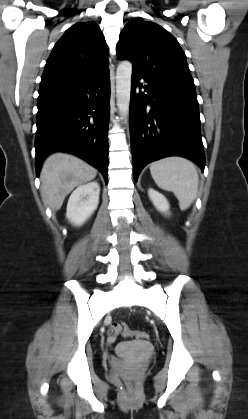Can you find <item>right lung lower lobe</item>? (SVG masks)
I'll return each instance as SVG.
<instances>
[{
	"instance_id": "98d812e1",
	"label": "right lung lower lobe",
	"mask_w": 248,
	"mask_h": 419,
	"mask_svg": "<svg viewBox=\"0 0 248 419\" xmlns=\"http://www.w3.org/2000/svg\"><path fill=\"white\" fill-rule=\"evenodd\" d=\"M109 69L72 84L39 89L36 172L55 151L73 153L99 169L107 181Z\"/></svg>"
}]
</instances>
